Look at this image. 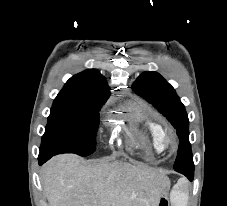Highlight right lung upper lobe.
Wrapping results in <instances>:
<instances>
[{"instance_id": "right-lung-upper-lobe-1", "label": "right lung upper lobe", "mask_w": 227, "mask_h": 206, "mask_svg": "<svg viewBox=\"0 0 227 206\" xmlns=\"http://www.w3.org/2000/svg\"><path fill=\"white\" fill-rule=\"evenodd\" d=\"M109 87L105 78L96 69L85 70L70 78L58 95L73 97H108Z\"/></svg>"}]
</instances>
